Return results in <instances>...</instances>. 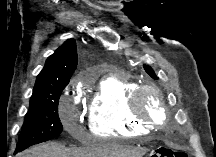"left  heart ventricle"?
Returning <instances> with one entry per match:
<instances>
[{"label": "left heart ventricle", "mask_w": 216, "mask_h": 157, "mask_svg": "<svg viewBox=\"0 0 216 157\" xmlns=\"http://www.w3.org/2000/svg\"><path fill=\"white\" fill-rule=\"evenodd\" d=\"M145 105L147 107L148 112H150L155 118H160L161 110L153 94L149 93L147 95Z\"/></svg>", "instance_id": "1"}]
</instances>
